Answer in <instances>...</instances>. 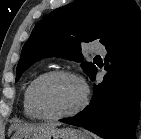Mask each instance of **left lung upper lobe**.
<instances>
[{
    "mask_svg": "<svg viewBox=\"0 0 141 139\" xmlns=\"http://www.w3.org/2000/svg\"><path fill=\"white\" fill-rule=\"evenodd\" d=\"M141 21L134 0H76L39 21L25 43L17 65L16 82L34 62L57 56L81 62V44L99 39L103 45L125 34ZM82 68L91 76L93 63Z\"/></svg>",
    "mask_w": 141,
    "mask_h": 139,
    "instance_id": "obj_1",
    "label": "left lung upper lobe"
}]
</instances>
